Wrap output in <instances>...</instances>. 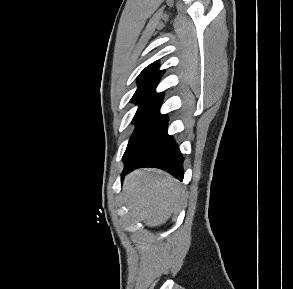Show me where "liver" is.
Here are the masks:
<instances>
[{
	"label": "liver",
	"mask_w": 293,
	"mask_h": 289,
	"mask_svg": "<svg viewBox=\"0 0 293 289\" xmlns=\"http://www.w3.org/2000/svg\"><path fill=\"white\" fill-rule=\"evenodd\" d=\"M123 193L131 217L150 227L164 224L183 201L178 181L157 169H140L129 174Z\"/></svg>",
	"instance_id": "6515ba94"
}]
</instances>
